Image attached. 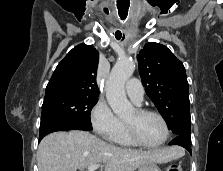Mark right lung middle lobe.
Segmentation results:
<instances>
[{
    "label": "right lung middle lobe",
    "instance_id": "1",
    "mask_svg": "<svg viewBox=\"0 0 223 171\" xmlns=\"http://www.w3.org/2000/svg\"><path fill=\"white\" fill-rule=\"evenodd\" d=\"M98 96L63 94L45 98L42 105L40 129L59 121H75L92 127L90 112Z\"/></svg>",
    "mask_w": 223,
    "mask_h": 171
}]
</instances>
